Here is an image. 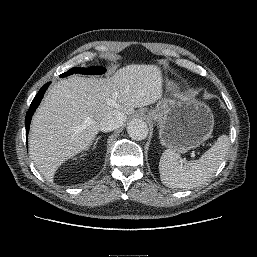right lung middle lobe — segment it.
Returning a JSON list of instances; mask_svg holds the SVG:
<instances>
[{
  "label": "right lung middle lobe",
  "mask_w": 257,
  "mask_h": 257,
  "mask_svg": "<svg viewBox=\"0 0 257 257\" xmlns=\"http://www.w3.org/2000/svg\"><path fill=\"white\" fill-rule=\"evenodd\" d=\"M105 68L101 66H94V67H89V68H71L67 72L63 73L60 75V77H66L69 76L73 73H80V74H86V75H97V74H103L105 72Z\"/></svg>",
  "instance_id": "dd1d6c3e"
}]
</instances>
